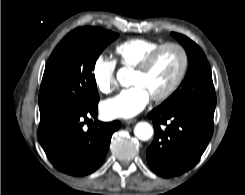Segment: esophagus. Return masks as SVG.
<instances>
[{
	"mask_svg": "<svg viewBox=\"0 0 245 195\" xmlns=\"http://www.w3.org/2000/svg\"><path fill=\"white\" fill-rule=\"evenodd\" d=\"M124 122H125V124L130 125V124L135 123L136 119H128V120H125Z\"/></svg>",
	"mask_w": 245,
	"mask_h": 195,
	"instance_id": "1",
	"label": "esophagus"
}]
</instances>
